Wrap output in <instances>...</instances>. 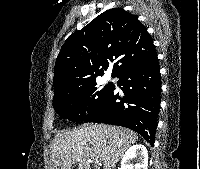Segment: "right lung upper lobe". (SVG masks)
Wrapping results in <instances>:
<instances>
[{"label":"right lung upper lobe","instance_id":"right-lung-upper-lobe-1","mask_svg":"<svg viewBox=\"0 0 200 169\" xmlns=\"http://www.w3.org/2000/svg\"><path fill=\"white\" fill-rule=\"evenodd\" d=\"M156 58L153 40L138 18L122 8L109 9L65 41L56 59L53 99L96 80L113 61L112 77H118Z\"/></svg>","mask_w":200,"mask_h":169}]
</instances>
